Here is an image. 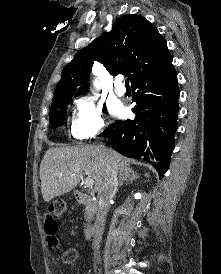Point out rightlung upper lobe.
Instances as JSON below:
<instances>
[{
	"mask_svg": "<svg viewBox=\"0 0 221 274\" xmlns=\"http://www.w3.org/2000/svg\"><path fill=\"white\" fill-rule=\"evenodd\" d=\"M171 58L166 41L146 18L135 14L122 16L109 33L80 50L65 66L54 99L85 92L94 60L112 75L127 74L132 84Z\"/></svg>",
	"mask_w": 221,
	"mask_h": 274,
	"instance_id": "obj_1",
	"label": "right lung upper lobe"
}]
</instances>
